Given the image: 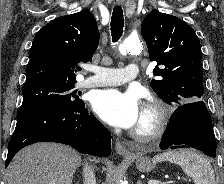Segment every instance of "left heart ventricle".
<instances>
[{
    "label": "left heart ventricle",
    "mask_w": 224,
    "mask_h": 184,
    "mask_svg": "<svg viewBox=\"0 0 224 184\" xmlns=\"http://www.w3.org/2000/svg\"><path fill=\"white\" fill-rule=\"evenodd\" d=\"M150 123V117L142 110L141 118L135 128L145 129Z\"/></svg>",
    "instance_id": "obj_1"
}]
</instances>
